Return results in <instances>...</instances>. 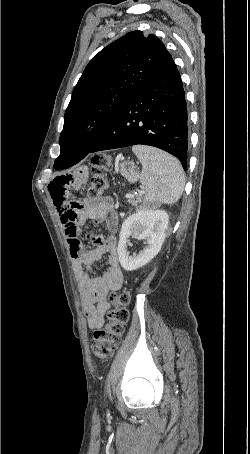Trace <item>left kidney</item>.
Here are the masks:
<instances>
[{"mask_svg": "<svg viewBox=\"0 0 250 454\" xmlns=\"http://www.w3.org/2000/svg\"><path fill=\"white\" fill-rule=\"evenodd\" d=\"M168 223L166 211L152 208H142L123 222L117 248L123 269L136 270L149 263L159 253L165 240ZM131 235L147 242L145 249L133 256L127 251V241Z\"/></svg>", "mask_w": 250, "mask_h": 454, "instance_id": "obj_1", "label": "left kidney"}]
</instances>
